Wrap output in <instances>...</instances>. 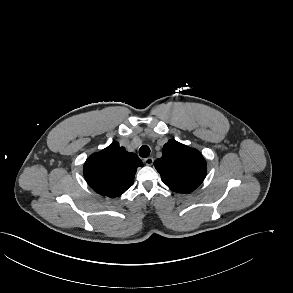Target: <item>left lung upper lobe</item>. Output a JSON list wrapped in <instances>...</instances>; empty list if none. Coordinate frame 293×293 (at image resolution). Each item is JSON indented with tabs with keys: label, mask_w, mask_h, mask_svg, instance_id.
I'll list each match as a JSON object with an SVG mask.
<instances>
[{
	"label": "left lung upper lobe",
	"mask_w": 293,
	"mask_h": 293,
	"mask_svg": "<svg viewBox=\"0 0 293 293\" xmlns=\"http://www.w3.org/2000/svg\"><path fill=\"white\" fill-rule=\"evenodd\" d=\"M154 166L163 183L178 193L192 192L206 176V161L202 154L173 139L163 146V155L155 160Z\"/></svg>",
	"instance_id": "5c2ea615"
}]
</instances>
